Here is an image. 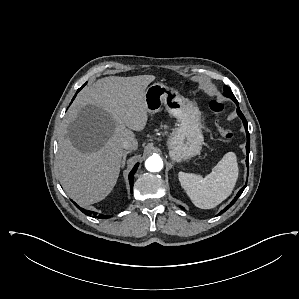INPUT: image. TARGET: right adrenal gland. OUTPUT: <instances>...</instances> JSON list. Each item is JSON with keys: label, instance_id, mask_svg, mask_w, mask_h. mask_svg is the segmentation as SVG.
<instances>
[{"label": "right adrenal gland", "instance_id": "2a0ac1e0", "mask_svg": "<svg viewBox=\"0 0 299 299\" xmlns=\"http://www.w3.org/2000/svg\"><path fill=\"white\" fill-rule=\"evenodd\" d=\"M129 153H131V151H124V153H123V159H122V167L125 166L126 157H127V155Z\"/></svg>", "mask_w": 299, "mask_h": 299}]
</instances>
